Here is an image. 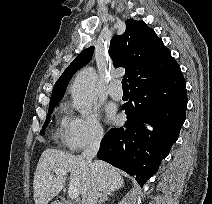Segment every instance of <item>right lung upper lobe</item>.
<instances>
[{
  "label": "right lung upper lobe",
  "mask_w": 212,
  "mask_h": 204,
  "mask_svg": "<svg viewBox=\"0 0 212 204\" xmlns=\"http://www.w3.org/2000/svg\"><path fill=\"white\" fill-rule=\"evenodd\" d=\"M94 47L83 50L56 81L50 104L58 103L73 74L91 60ZM109 55L115 67H124L129 88L179 66L153 29L144 21L128 19L126 31L110 42Z\"/></svg>",
  "instance_id": "obj_1"
}]
</instances>
